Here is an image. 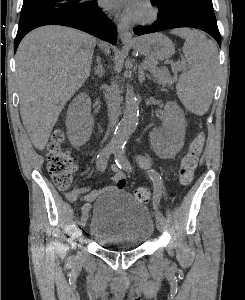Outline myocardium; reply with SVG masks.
Listing matches in <instances>:
<instances>
[{"label":"myocardium","instance_id":"1","mask_svg":"<svg viewBox=\"0 0 245 300\" xmlns=\"http://www.w3.org/2000/svg\"><path fill=\"white\" fill-rule=\"evenodd\" d=\"M141 3L146 9V14L141 17H130L129 20L135 24H149L155 21L158 16V10L151 2V0H142Z\"/></svg>","mask_w":245,"mask_h":300}]
</instances>
